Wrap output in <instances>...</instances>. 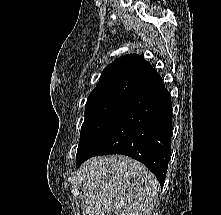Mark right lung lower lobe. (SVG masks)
<instances>
[{"mask_svg":"<svg viewBox=\"0 0 221 215\" xmlns=\"http://www.w3.org/2000/svg\"><path fill=\"white\" fill-rule=\"evenodd\" d=\"M171 134V96L161 81L129 103L92 150L77 158V167L93 156L123 154L142 162L162 186L171 155Z\"/></svg>","mask_w":221,"mask_h":215,"instance_id":"right-lung-lower-lobe-1","label":"right lung lower lobe"}]
</instances>
